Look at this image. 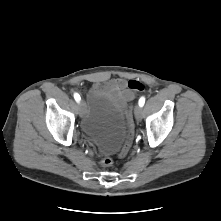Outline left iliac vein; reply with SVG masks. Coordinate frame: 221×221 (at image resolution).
Segmentation results:
<instances>
[{"label":"left iliac vein","instance_id":"obj_1","mask_svg":"<svg viewBox=\"0 0 221 221\" xmlns=\"http://www.w3.org/2000/svg\"><path fill=\"white\" fill-rule=\"evenodd\" d=\"M135 117L137 120H141L143 117V109L141 106H136L135 107Z\"/></svg>","mask_w":221,"mask_h":221}]
</instances>
